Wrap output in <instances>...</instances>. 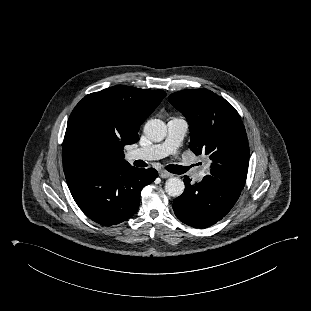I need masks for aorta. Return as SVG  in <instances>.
Here are the masks:
<instances>
[{"instance_id":"aorta-1","label":"aorta","mask_w":311,"mask_h":311,"mask_svg":"<svg viewBox=\"0 0 311 311\" xmlns=\"http://www.w3.org/2000/svg\"><path fill=\"white\" fill-rule=\"evenodd\" d=\"M144 134L153 142L162 141L167 134V127L160 119H151L144 126ZM184 182L177 178H169L165 183V191L171 197H179L184 192Z\"/></svg>"}]
</instances>
